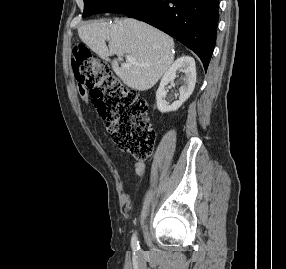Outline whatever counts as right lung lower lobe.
<instances>
[{"label":"right lung lower lobe","instance_id":"right-lung-lower-lobe-1","mask_svg":"<svg viewBox=\"0 0 286 269\" xmlns=\"http://www.w3.org/2000/svg\"><path fill=\"white\" fill-rule=\"evenodd\" d=\"M219 0H153L129 15L194 51L207 70L216 40Z\"/></svg>","mask_w":286,"mask_h":269}]
</instances>
